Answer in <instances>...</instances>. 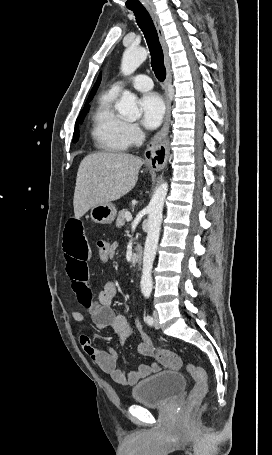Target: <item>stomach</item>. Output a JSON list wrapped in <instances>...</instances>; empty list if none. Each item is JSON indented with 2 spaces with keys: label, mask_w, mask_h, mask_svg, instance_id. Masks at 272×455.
I'll list each match as a JSON object with an SVG mask.
<instances>
[{
  "label": "stomach",
  "mask_w": 272,
  "mask_h": 455,
  "mask_svg": "<svg viewBox=\"0 0 272 455\" xmlns=\"http://www.w3.org/2000/svg\"><path fill=\"white\" fill-rule=\"evenodd\" d=\"M91 219L95 223L110 224L116 216V208L112 203L97 205L91 208Z\"/></svg>",
  "instance_id": "1"
}]
</instances>
